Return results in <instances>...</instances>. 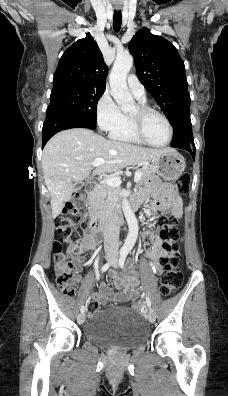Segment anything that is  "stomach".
<instances>
[{
	"label": "stomach",
	"instance_id": "stomach-1",
	"mask_svg": "<svg viewBox=\"0 0 228 396\" xmlns=\"http://www.w3.org/2000/svg\"><path fill=\"white\" fill-rule=\"evenodd\" d=\"M155 173L160 175L165 180L177 179L186 167L185 160L175 150H170L165 154L152 159Z\"/></svg>",
	"mask_w": 228,
	"mask_h": 396
}]
</instances>
